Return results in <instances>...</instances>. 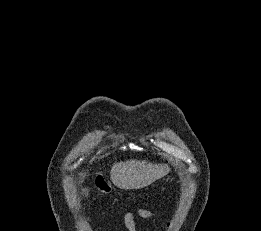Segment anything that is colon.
<instances>
[{"label":"colon","instance_id":"5ec220e1","mask_svg":"<svg viewBox=\"0 0 261 231\" xmlns=\"http://www.w3.org/2000/svg\"><path fill=\"white\" fill-rule=\"evenodd\" d=\"M101 191L105 194H109L110 193V187L105 184L102 188H101Z\"/></svg>","mask_w":261,"mask_h":231}]
</instances>
